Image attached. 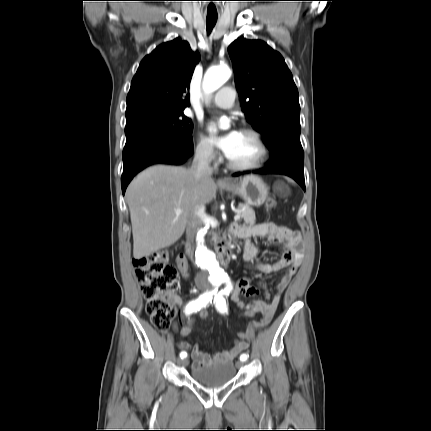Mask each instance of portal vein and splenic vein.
I'll list each match as a JSON object with an SVG mask.
<instances>
[{"instance_id": "1", "label": "portal vein and splenic vein", "mask_w": 431, "mask_h": 431, "mask_svg": "<svg viewBox=\"0 0 431 431\" xmlns=\"http://www.w3.org/2000/svg\"><path fill=\"white\" fill-rule=\"evenodd\" d=\"M175 213L177 214V215H179V214H181L182 213V211L180 210V209H176L175 210ZM240 212H238L235 216H234V220L235 221H237V220H239L240 219V214H239Z\"/></svg>"}]
</instances>
